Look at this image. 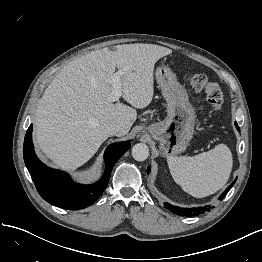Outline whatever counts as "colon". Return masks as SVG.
<instances>
[{
    "label": "colon",
    "instance_id": "5ec220e1",
    "mask_svg": "<svg viewBox=\"0 0 262 262\" xmlns=\"http://www.w3.org/2000/svg\"><path fill=\"white\" fill-rule=\"evenodd\" d=\"M189 86L196 91H204L209 107L217 111L221 108L223 103V92L218 84L208 80L203 73H188L185 76Z\"/></svg>",
    "mask_w": 262,
    "mask_h": 262
}]
</instances>
